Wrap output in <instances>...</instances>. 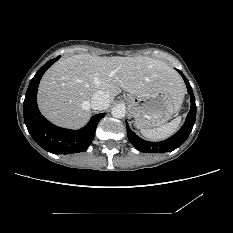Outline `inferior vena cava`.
I'll list each match as a JSON object with an SVG mask.
<instances>
[{"label":"inferior vena cava","instance_id":"obj_1","mask_svg":"<svg viewBox=\"0 0 233 233\" xmlns=\"http://www.w3.org/2000/svg\"><path fill=\"white\" fill-rule=\"evenodd\" d=\"M109 106V97L104 91H97L91 98V108L104 110Z\"/></svg>","mask_w":233,"mask_h":233}]
</instances>
